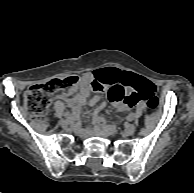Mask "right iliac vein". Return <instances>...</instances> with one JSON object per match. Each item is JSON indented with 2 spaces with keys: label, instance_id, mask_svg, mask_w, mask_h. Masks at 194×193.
I'll use <instances>...</instances> for the list:
<instances>
[{
  "label": "right iliac vein",
  "instance_id": "right-iliac-vein-1",
  "mask_svg": "<svg viewBox=\"0 0 194 193\" xmlns=\"http://www.w3.org/2000/svg\"><path fill=\"white\" fill-rule=\"evenodd\" d=\"M71 119L60 120V125L64 128H67L70 125Z\"/></svg>",
  "mask_w": 194,
  "mask_h": 193
}]
</instances>
